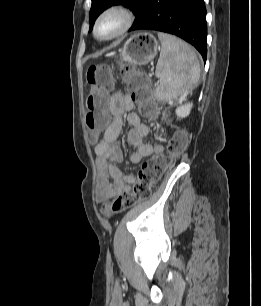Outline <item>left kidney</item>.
I'll list each match as a JSON object with an SVG mask.
<instances>
[{
  "label": "left kidney",
  "mask_w": 261,
  "mask_h": 306,
  "mask_svg": "<svg viewBox=\"0 0 261 306\" xmlns=\"http://www.w3.org/2000/svg\"><path fill=\"white\" fill-rule=\"evenodd\" d=\"M192 103H185L176 108L175 112L178 118H185L190 114Z\"/></svg>",
  "instance_id": "obj_1"
}]
</instances>
